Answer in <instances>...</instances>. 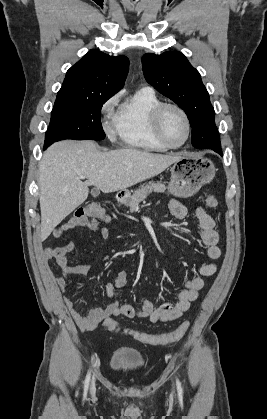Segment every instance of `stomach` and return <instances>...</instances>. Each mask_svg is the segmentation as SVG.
<instances>
[{
    "label": "stomach",
    "mask_w": 267,
    "mask_h": 419,
    "mask_svg": "<svg viewBox=\"0 0 267 419\" xmlns=\"http://www.w3.org/2000/svg\"><path fill=\"white\" fill-rule=\"evenodd\" d=\"M216 168L213 162L199 154L183 156L171 167L169 191L177 197H189L215 176ZM131 194L128 190L119 193V200L124 205H130Z\"/></svg>",
    "instance_id": "stomach-1"
}]
</instances>
